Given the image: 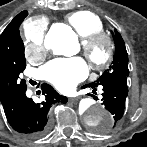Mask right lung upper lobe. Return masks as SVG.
<instances>
[{"mask_svg":"<svg viewBox=\"0 0 147 147\" xmlns=\"http://www.w3.org/2000/svg\"><path fill=\"white\" fill-rule=\"evenodd\" d=\"M19 15H17L10 24L5 28L2 35L0 36V59L3 58L5 50H6V42H7V36L9 32L12 30V28L16 25V21L18 19Z\"/></svg>","mask_w":147,"mask_h":147,"instance_id":"right-lung-upper-lobe-1","label":"right lung upper lobe"}]
</instances>
